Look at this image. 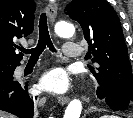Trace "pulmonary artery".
<instances>
[{
  "label": "pulmonary artery",
  "mask_w": 133,
  "mask_h": 118,
  "mask_svg": "<svg viewBox=\"0 0 133 118\" xmlns=\"http://www.w3.org/2000/svg\"><path fill=\"white\" fill-rule=\"evenodd\" d=\"M63 53L64 56L67 58H78L81 56V48L79 45L72 43V42H66L63 45ZM25 68L24 64H21L17 67L16 73L20 74Z\"/></svg>",
  "instance_id": "e3ab8cb5"
}]
</instances>
